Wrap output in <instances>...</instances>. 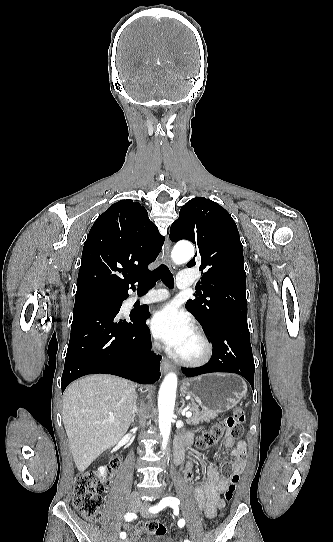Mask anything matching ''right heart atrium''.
Wrapping results in <instances>:
<instances>
[{"label":"right heart atrium","mask_w":333,"mask_h":542,"mask_svg":"<svg viewBox=\"0 0 333 542\" xmlns=\"http://www.w3.org/2000/svg\"><path fill=\"white\" fill-rule=\"evenodd\" d=\"M151 344H152V347L154 349H158L159 348V343L157 341V339L155 337H152V341H151Z\"/></svg>","instance_id":"d8ad5b80"}]
</instances>
